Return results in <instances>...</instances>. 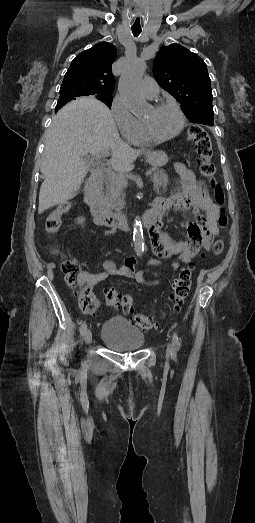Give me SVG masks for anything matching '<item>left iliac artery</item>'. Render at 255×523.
<instances>
[{"label":"left iliac artery","instance_id":"44dca946","mask_svg":"<svg viewBox=\"0 0 255 523\" xmlns=\"http://www.w3.org/2000/svg\"><path fill=\"white\" fill-rule=\"evenodd\" d=\"M173 345L175 346L176 350H179L180 348V341L178 335L174 332L172 337Z\"/></svg>","mask_w":255,"mask_h":523}]
</instances>
